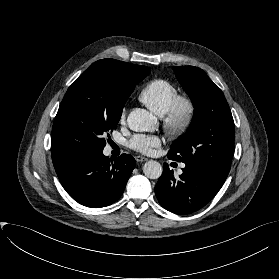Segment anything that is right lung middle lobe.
Instances as JSON below:
<instances>
[{
    "mask_svg": "<svg viewBox=\"0 0 279 279\" xmlns=\"http://www.w3.org/2000/svg\"><path fill=\"white\" fill-rule=\"evenodd\" d=\"M136 85L122 87L102 71H85L68 88L52 129L53 163L103 151Z\"/></svg>",
    "mask_w": 279,
    "mask_h": 279,
    "instance_id": "dd1d6c3e",
    "label": "right lung middle lobe"
}]
</instances>
